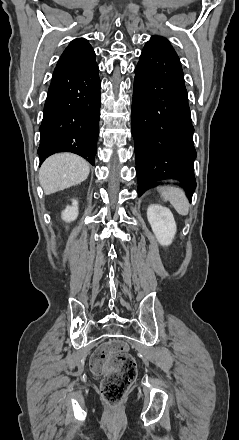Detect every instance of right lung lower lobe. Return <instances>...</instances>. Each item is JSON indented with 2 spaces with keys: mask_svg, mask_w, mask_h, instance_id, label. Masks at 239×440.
I'll return each instance as SVG.
<instances>
[{
  "mask_svg": "<svg viewBox=\"0 0 239 440\" xmlns=\"http://www.w3.org/2000/svg\"><path fill=\"white\" fill-rule=\"evenodd\" d=\"M98 65L56 67L44 105L40 164L58 152L78 154L94 165L100 119Z\"/></svg>",
  "mask_w": 239,
  "mask_h": 440,
  "instance_id": "right-lung-lower-lobe-1",
  "label": "right lung lower lobe"
}]
</instances>
